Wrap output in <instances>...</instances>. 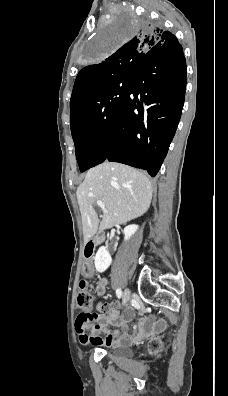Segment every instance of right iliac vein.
Instances as JSON below:
<instances>
[{
  "mask_svg": "<svg viewBox=\"0 0 228 396\" xmlns=\"http://www.w3.org/2000/svg\"><path fill=\"white\" fill-rule=\"evenodd\" d=\"M129 298H130V290L127 288V289H125V291L123 293L122 304L126 305Z\"/></svg>",
  "mask_w": 228,
  "mask_h": 396,
  "instance_id": "63e3f726",
  "label": "right iliac vein"
}]
</instances>
